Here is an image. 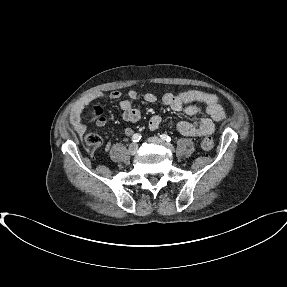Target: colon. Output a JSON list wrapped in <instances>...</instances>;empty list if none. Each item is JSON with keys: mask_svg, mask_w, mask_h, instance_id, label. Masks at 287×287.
Wrapping results in <instances>:
<instances>
[{"mask_svg": "<svg viewBox=\"0 0 287 287\" xmlns=\"http://www.w3.org/2000/svg\"><path fill=\"white\" fill-rule=\"evenodd\" d=\"M83 141L86 146L93 148L99 145L100 137L97 134L89 133L84 136ZM201 147L205 151L212 150L214 147V139L209 136L205 137L201 142Z\"/></svg>", "mask_w": 287, "mask_h": 287, "instance_id": "obj_1", "label": "colon"}]
</instances>
